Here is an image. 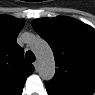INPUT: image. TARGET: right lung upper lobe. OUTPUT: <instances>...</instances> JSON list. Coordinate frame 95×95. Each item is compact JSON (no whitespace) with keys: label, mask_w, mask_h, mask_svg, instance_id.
I'll list each match as a JSON object with an SVG mask.
<instances>
[{"label":"right lung upper lobe","mask_w":95,"mask_h":95,"mask_svg":"<svg viewBox=\"0 0 95 95\" xmlns=\"http://www.w3.org/2000/svg\"><path fill=\"white\" fill-rule=\"evenodd\" d=\"M24 20L0 15V95H21L34 66L28 63L16 39Z\"/></svg>","instance_id":"cb5924a9"}]
</instances>
